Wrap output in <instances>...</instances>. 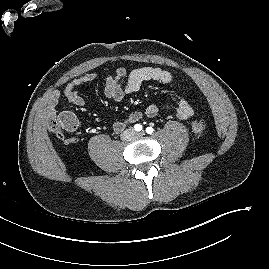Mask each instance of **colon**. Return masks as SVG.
<instances>
[{"label": "colon", "mask_w": 269, "mask_h": 269, "mask_svg": "<svg viewBox=\"0 0 269 269\" xmlns=\"http://www.w3.org/2000/svg\"><path fill=\"white\" fill-rule=\"evenodd\" d=\"M77 126L75 116L70 112H63L58 117L51 116L48 119V127L51 132L60 135L63 130L73 131ZM192 132L196 136H202L206 130L203 119H194L190 124Z\"/></svg>", "instance_id": "1"}]
</instances>
